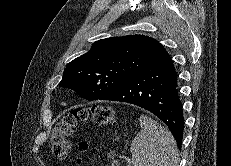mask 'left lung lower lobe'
I'll use <instances>...</instances> for the list:
<instances>
[{
  "label": "left lung lower lobe",
  "instance_id": "left-lung-lower-lobe-1",
  "mask_svg": "<svg viewBox=\"0 0 231 166\" xmlns=\"http://www.w3.org/2000/svg\"><path fill=\"white\" fill-rule=\"evenodd\" d=\"M99 100L127 102L152 112L168 126L178 147H181L183 110L177 73L167 51Z\"/></svg>",
  "mask_w": 231,
  "mask_h": 166
}]
</instances>
